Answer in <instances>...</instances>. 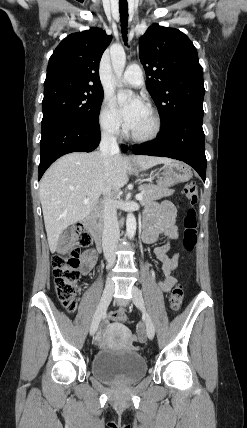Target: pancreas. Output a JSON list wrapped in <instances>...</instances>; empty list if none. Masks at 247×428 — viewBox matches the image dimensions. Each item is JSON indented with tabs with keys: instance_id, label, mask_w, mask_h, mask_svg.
Returning <instances> with one entry per match:
<instances>
[{
	"instance_id": "cf45deb5",
	"label": "pancreas",
	"mask_w": 247,
	"mask_h": 428,
	"mask_svg": "<svg viewBox=\"0 0 247 428\" xmlns=\"http://www.w3.org/2000/svg\"><path fill=\"white\" fill-rule=\"evenodd\" d=\"M138 189L143 194V199L140 200V204L143 206L148 205L150 202L154 200L171 196L174 193V190H171L159 185H153V184H143V185H140Z\"/></svg>"
}]
</instances>
